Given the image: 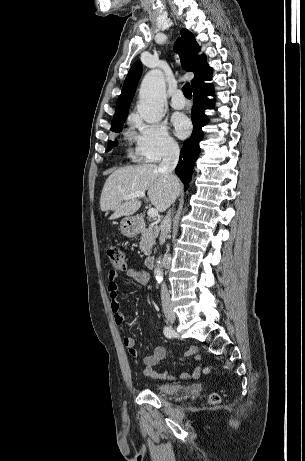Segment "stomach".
Listing matches in <instances>:
<instances>
[{
	"label": "stomach",
	"mask_w": 305,
	"mask_h": 461,
	"mask_svg": "<svg viewBox=\"0 0 305 461\" xmlns=\"http://www.w3.org/2000/svg\"><path fill=\"white\" fill-rule=\"evenodd\" d=\"M121 233L126 237H134L139 232L137 221L134 217L127 216L120 222Z\"/></svg>",
	"instance_id": "obj_1"
}]
</instances>
